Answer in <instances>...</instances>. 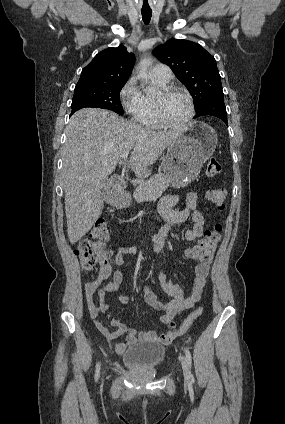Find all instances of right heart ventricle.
I'll return each instance as SVG.
<instances>
[{"label":"right heart ventricle","mask_w":285,"mask_h":424,"mask_svg":"<svg viewBox=\"0 0 285 424\" xmlns=\"http://www.w3.org/2000/svg\"><path fill=\"white\" fill-rule=\"evenodd\" d=\"M157 82V81H156ZM161 87H165L166 85H163L159 82H157ZM154 99L150 97H145V111L143 114V117L141 119V123L149 128H159L160 124L157 121L156 114H155V104Z\"/></svg>","instance_id":"1"}]
</instances>
